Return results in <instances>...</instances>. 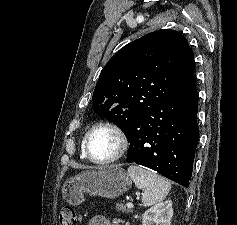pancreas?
<instances>
[{"label": "pancreas", "mask_w": 237, "mask_h": 225, "mask_svg": "<svg viewBox=\"0 0 237 225\" xmlns=\"http://www.w3.org/2000/svg\"><path fill=\"white\" fill-rule=\"evenodd\" d=\"M116 209L119 211V212H125V213H132V209H128L126 208V206H124L123 204H116Z\"/></svg>", "instance_id": "1"}]
</instances>
